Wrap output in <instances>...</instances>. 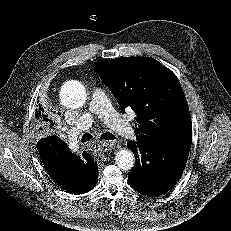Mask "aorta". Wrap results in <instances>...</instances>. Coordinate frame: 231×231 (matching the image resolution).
I'll return each instance as SVG.
<instances>
[{"mask_svg":"<svg viewBox=\"0 0 231 231\" xmlns=\"http://www.w3.org/2000/svg\"><path fill=\"white\" fill-rule=\"evenodd\" d=\"M87 99L85 87L78 81L66 82L60 90V100L62 104L71 109L82 107ZM116 164L122 170H130L134 167L135 158L128 149H121L115 156Z\"/></svg>","mask_w":231,"mask_h":231,"instance_id":"obj_1","label":"aorta"}]
</instances>
